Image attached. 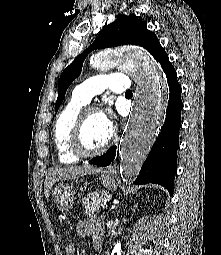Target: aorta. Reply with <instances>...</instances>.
Masks as SVG:
<instances>
[{
	"label": "aorta",
	"mask_w": 221,
	"mask_h": 255,
	"mask_svg": "<svg viewBox=\"0 0 221 255\" xmlns=\"http://www.w3.org/2000/svg\"><path fill=\"white\" fill-rule=\"evenodd\" d=\"M90 65L100 70L119 67L137 81L138 89L125 134L119 146L120 173L125 180L136 178L164 121L167 88L156 61L143 49L127 47L111 53H97ZM116 242L111 255H121Z\"/></svg>",
	"instance_id": "obj_1"
}]
</instances>
